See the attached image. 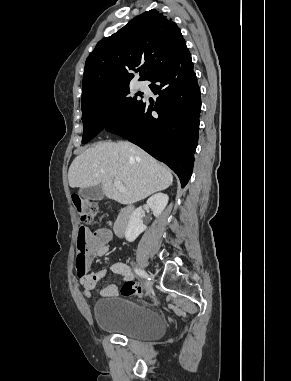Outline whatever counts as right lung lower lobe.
<instances>
[{"instance_id":"right-lung-lower-lobe-1","label":"right lung lower lobe","mask_w":291,"mask_h":381,"mask_svg":"<svg viewBox=\"0 0 291 381\" xmlns=\"http://www.w3.org/2000/svg\"><path fill=\"white\" fill-rule=\"evenodd\" d=\"M149 81L150 89L159 94L155 105L143 101L132 115L106 130L164 162L184 187L193 170L201 111L200 89L188 48Z\"/></svg>"}]
</instances>
